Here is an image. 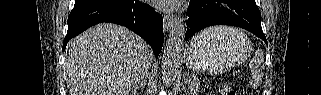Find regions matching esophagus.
Segmentation results:
<instances>
[{"label": "esophagus", "mask_w": 321, "mask_h": 95, "mask_svg": "<svg viewBox=\"0 0 321 95\" xmlns=\"http://www.w3.org/2000/svg\"><path fill=\"white\" fill-rule=\"evenodd\" d=\"M176 23V19L173 15L164 16V30L166 32L170 31Z\"/></svg>", "instance_id": "34e87169"}]
</instances>
